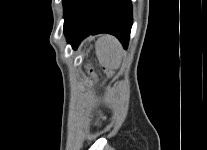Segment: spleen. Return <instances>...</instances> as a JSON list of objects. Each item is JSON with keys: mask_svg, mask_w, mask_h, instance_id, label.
<instances>
[{"mask_svg": "<svg viewBox=\"0 0 207 150\" xmlns=\"http://www.w3.org/2000/svg\"><path fill=\"white\" fill-rule=\"evenodd\" d=\"M122 46L111 35H103L96 42V54L99 61L110 69H118L122 60Z\"/></svg>", "mask_w": 207, "mask_h": 150, "instance_id": "obj_1", "label": "spleen"}]
</instances>
